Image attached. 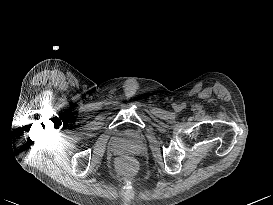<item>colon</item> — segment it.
<instances>
[{"mask_svg": "<svg viewBox=\"0 0 273 205\" xmlns=\"http://www.w3.org/2000/svg\"><path fill=\"white\" fill-rule=\"evenodd\" d=\"M135 167V163L130 158H123L118 162V168L123 174H129Z\"/></svg>", "mask_w": 273, "mask_h": 205, "instance_id": "5ec220e1", "label": "colon"}]
</instances>
